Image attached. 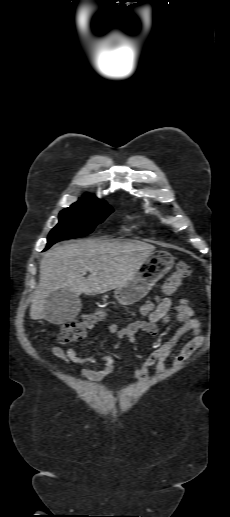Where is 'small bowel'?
<instances>
[{
    "instance_id": "obj_1",
    "label": "small bowel",
    "mask_w": 230,
    "mask_h": 517,
    "mask_svg": "<svg viewBox=\"0 0 230 517\" xmlns=\"http://www.w3.org/2000/svg\"><path fill=\"white\" fill-rule=\"evenodd\" d=\"M194 314L193 305L188 299L181 298L177 301H173L170 298H164L149 314L147 320H134L124 326L111 324L108 327V332L115 335L118 340L127 339L129 342H134L137 332L144 331L149 335H156L159 329L168 322L171 315L176 316L177 321L181 324L180 327L170 339L153 350L139 365L135 379L140 381L146 377L149 367L156 366L157 371L160 373L164 371L165 361L176 350L179 341L183 337L189 336V340L183 345L175 357L173 361L175 367L182 365L200 347L203 338L200 335L199 321L195 318ZM117 346L118 344H116L115 347ZM51 352L56 358L69 365L77 363H84L91 366L100 365L99 368L80 369V372L88 379L103 378L116 367L114 359L109 355L82 358L78 355L77 349L73 346L65 349L59 346H53Z\"/></svg>"
}]
</instances>
